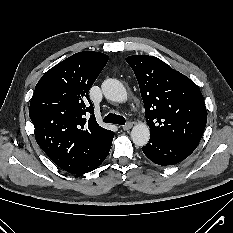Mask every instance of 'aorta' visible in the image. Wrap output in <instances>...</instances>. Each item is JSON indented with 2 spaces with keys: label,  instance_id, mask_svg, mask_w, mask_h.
Instances as JSON below:
<instances>
[{
  "label": "aorta",
  "instance_id": "obj_1",
  "mask_svg": "<svg viewBox=\"0 0 233 233\" xmlns=\"http://www.w3.org/2000/svg\"><path fill=\"white\" fill-rule=\"evenodd\" d=\"M102 92L104 96L114 102H125L127 92L124 85L116 79H107L102 83ZM150 138V130L147 124L138 123L134 125L131 131V139L137 146H145Z\"/></svg>",
  "mask_w": 233,
  "mask_h": 233
}]
</instances>
